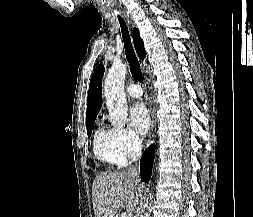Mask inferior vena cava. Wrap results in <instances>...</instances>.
<instances>
[{"instance_id":"obj_1","label":"inferior vena cava","mask_w":253,"mask_h":217,"mask_svg":"<svg viewBox=\"0 0 253 217\" xmlns=\"http://www.w3.org/2000/svg\"><path fill=\"white\" fill-rule=\"evenodd\" d=\"M141 149H142V141L140 139L136 140V153L138 158L141 156ZM127 173L131 175L133 178H138L139 175V167H131L127 170Z\"/></svg>"}]
</instances>
